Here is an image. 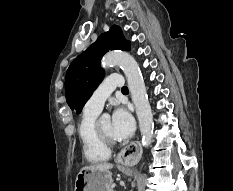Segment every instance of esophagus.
Returning <instances> with one entry per match:
<instances>
[{
    "label": "esophagus",
    "mask_w": 233,
    "mask_h": 191,
    "mask_svg": "<svg viewBox=\"0 0 233 191\" xmlns=\"http://www.w3.org/2000/svg\"><path fill=\"white\" fill-rule=\"evenodd\" d=\"M142 153V147L138 140L133 141L123 148L118 154L117 160L123 164H138V158Z\"/></svg>",
    "instance_id": "34e87169"
}]
</instances>
